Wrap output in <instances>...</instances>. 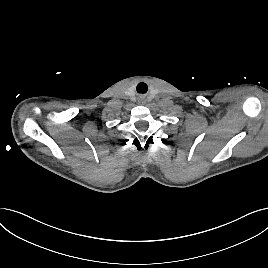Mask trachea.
Returning <instances> with one entry per match:
<instances>
[{
    "mask_svg": "<svg viewBox=\"0 0 268 268\" xmlns=\"http://www.w3.org/2000/svg\"><path fill=\"white\" fill-rule=\"evenodd\" d=\"M147 89H148L147 85L143 82H141L137 85V92L138 93H146Z\"/></svg>",
    "mask_w": 268,
    "mask_h": 268,
    "instance_id": "3493384b",
    "label": "trachea"
}]
</instances>
